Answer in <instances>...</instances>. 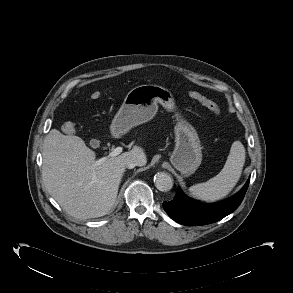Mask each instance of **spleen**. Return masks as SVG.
I'll use <instances>...</instances> for the list:
<instances>
[{
	"label": "spleen",
	"instance_id": "3e777b00",
	"mask_svg": "<svg viewBox=\"0 0 293 293\" xmlns=\"http://www.w3.org/2000/svg\"><path fill=\"white\" fill-rule=\"evenodd\" d=\"M244 163L245 148L240 141H235L220 173L204 183L191 186L190 195L206 202H214L226 197L238 183Z\"/></svg>",
	"mask_w": 293,
	"mask_h": 293
}]
</instances>
